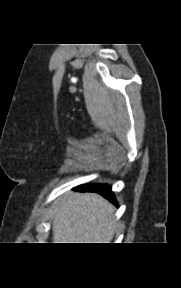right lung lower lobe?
Wrapping results in <instances>:
<instances>
[{
    "instance_id": "obj_1",
    "label": "right lung lower lobe",
    "mask_w": 181,
    "mask_h": 288,
    "mask_svg": "<svg viewBox=\"0 0 181 288\" xmlns=\"http://www.w3.org/2000/svg\"><path fill=\"white\" fill-rule=\"evenodd\" d=\"M78 190L82 191V192L99 193L104 198L108 199L109 201L113 202L114 204H117L115 196H114L113 192L111 191V186H109V185L87 184V185H82V186L78 187Z\"/></svg>"
}]
</instances>
